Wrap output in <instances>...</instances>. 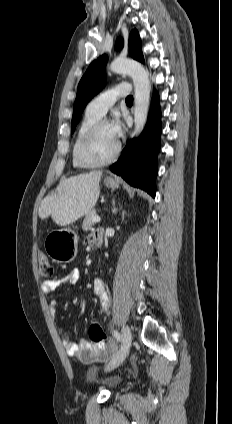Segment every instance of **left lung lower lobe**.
<instances>
[{
	"instance_id": "0a47b994",
	"label": "left lung lower lobe",
	"mask_w": 232,
	"mask_h": 424,
	"mask_svg": "<svg viewBox=\"0 0 232 424\" xmlns=\"http://www.w3.org/2000/svg\"><path fill=\"white\" fill-rule=\"evenodd\" d=\"M161 110L159 96L153 93L148 123L138 139L129 141L111 171L130 185L139 187L155 197L157 155L160 150Z\"/></svg>"
}]
</instances>
